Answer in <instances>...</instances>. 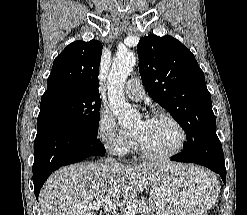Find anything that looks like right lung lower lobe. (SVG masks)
Returning a JSON list of instances; mask_svg holds the SVG:
<instances>
[{"instance_id": "right-lung-lower-lobe-1", "label": "right lung lower lobe", "mask_w": 247, "mask_h": 215, "mask_svg": "<svg viewBox=\"0 0 247 215\" xmlns=\"http://www.w3.org/2000/svg\"><path fill=\"white\" fill-rule=\"evenodd\" d=\"M104 154L105 148L97 135L83 128L57 121L37 123L33 164L36 199L44 182L56 169Z\"/></svg>"}]
</instances>
